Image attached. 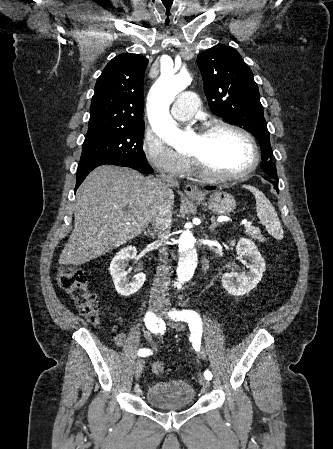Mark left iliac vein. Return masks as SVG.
<instances>
[{"instance_id":"1","label":"left iliac vein","mask_w":333,"mask_h":449,"mask_svg":"<svg viewBox=\"0 0 333 449\" xmlns=\"http://www.w3.org/2000/svg\"><path fill=\"white\" fill-rule=\"evenodd\" d=\"M161 315L163 316L164 319L167 320L168 316H167V311H166V309H164V310L161 311ZM169 325H170L172 328H175V329L178 330V331L182 330V327H180V326H178V325H176V324H174V323L169 322ZM198 380H199L200 385H201L204 389H208V388L210 387V382H209V380L206 379L205 376H204L203 374H201V373L198 374Z\"/></svg>"}]
</instances>
